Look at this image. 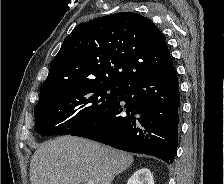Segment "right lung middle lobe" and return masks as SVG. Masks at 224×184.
I'll return each mask as SVG.
<instances>
[{"label":"right lung middle lobe","instance_id":"right-lung-middle-lobe-1","mask_svg":"<svg viewBox=\"0 0 224 184\" xmlns=\"http://www.w3.org/2000/svg\"><path fill=\"white\" fill-rule=\"evenodd\" d=\"M121 90L122 85L95 82L67 88L36 104V131L41 136L69 135L101 116Z\"/></svg>","mask_w":224,"mask_h":184}]
</instances>
